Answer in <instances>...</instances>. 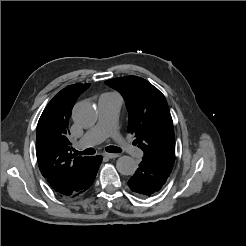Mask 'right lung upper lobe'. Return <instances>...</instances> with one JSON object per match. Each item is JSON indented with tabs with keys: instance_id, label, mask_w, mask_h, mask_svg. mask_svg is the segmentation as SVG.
<instances>
[{
	"instance_id": "1",
	"label": "right lung upper lobe",
	"mask_w": 246,
	"mask_h": 246,
	"mask_svg": "<svg viewBox=\"0 0 246 246\" xmlns=\"http://www.w3.org/2000/svg\"><path fill=\"white\" fill-rule=\"evenodd\" d=\"M90 84H73L58 92L44 109L37 125L36 156L42 175L62 197L85 173L91 157L74 156L69 139V118L77 98Z\"/></svg>"
}]
</instances>
